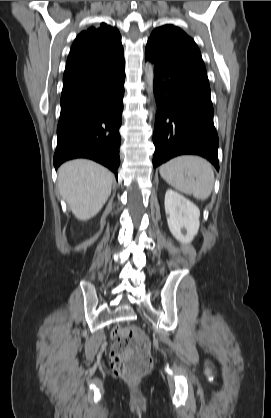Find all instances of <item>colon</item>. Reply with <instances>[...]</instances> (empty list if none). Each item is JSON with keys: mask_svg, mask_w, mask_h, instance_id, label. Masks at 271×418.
Listing matches in <instances>:
<instances>
[{"mask_svg": "<svg viewBox=\"0 0 271 418\" xmlns=\"http://www.w3.org/2000/svg\"><path fill=\"white\" fill-rule=\"evenodd\" d=\"M112 338L110 363L115 375L135 379L151 369L150 342L144 331L137 327L116 328Z\"/></svg>", "mask_w": 271, "mask_h": 418, "instance_id": "obj_1", "label": "colon"}]
</instances>
